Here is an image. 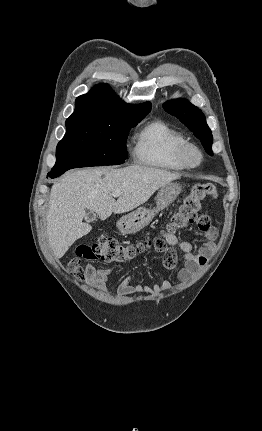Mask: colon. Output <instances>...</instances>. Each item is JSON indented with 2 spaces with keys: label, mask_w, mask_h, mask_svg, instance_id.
<instances>
[{
  "label": "colon",
  "mask_w": 262,
  "mask_h": 431,
  "mask_svg": "<svg viewBox=\"0 0 262 431\" xmlns=\"http://www.w3.org/2000/svg\"><path fill=\"white\" fill-rule=\"evenodd\" d=\"M216 193V187L211 183L194 184L161 232L135 244H123L107 237L84 243L71 256L67 265L68 270L81 276L87 269L81 264L82 259L122 263L134 258L146 248H153L158 252L171 251L166 242V236L194 223L203 202L208 197H215Z\"/></svg>",
  "instance_id": "5ec220e1"
}]
</instances>
